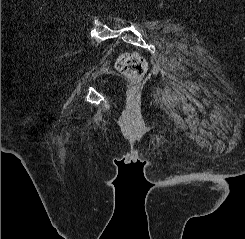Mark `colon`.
<instances>
[{
  "instance_id": "5ec220e1",
  "label": "colon",
  "mask_w": 245,
  "mask_h": 239,
  "mask_svg": "<svg viewBox=\"0 0 245 239\" xmlns=\"http://www.w3.org/2000/svg\"><path fill=\"white\" fill-rule=\"evenodd\" d=\"M116 68L132 85L138 86L146 72L147 64L140 53L131 51L118 57Z\"/></svg>"
}]
</instances>
